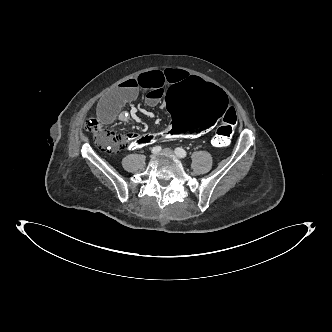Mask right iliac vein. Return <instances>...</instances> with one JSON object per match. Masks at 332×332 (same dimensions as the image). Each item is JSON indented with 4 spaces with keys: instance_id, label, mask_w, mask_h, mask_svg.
<instances>
[{
    "instance_id": "right-iliac-vein-1",
    "label": "right iliac vein",
    "mask_w": 332,
    "mask_h": 332,
    "mask_svg": "<svg viewBox=\"0 0 332 332\" xmlns=\"http://www.w3.org/2000/svg\"><path fill=\"white\" fill-rule=\"evenodd\" d=\"M155 156H156V155L154 154V155H152L151 157L154 158Z\"/></svg>"
}]
</instances>
